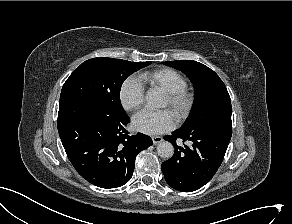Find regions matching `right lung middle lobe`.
Wrapping results in <instances>:
<instances>
[{
    "mask_svg": "<svg viewBox=\"0 0 292 224\" xmlns=\"http://www.w3.org/2000/svg\"><path fill=\"white\" fill-rule=\"evenodd\" d=\"M152 62L92 58L75 69L63 85L60 101L80 99L110 114H125L120 89L125 79Z\"/></svg>",
    "mask_w": 292,
    "mask_h": 224,
    "instance_id": "obj_1",
    "label": "right lung middle lobe"
}]
</instances>
